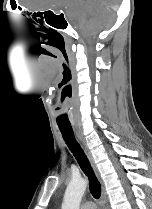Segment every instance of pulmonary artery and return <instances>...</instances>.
Masks as SVG:
<instances>
[{
	"mask_svg": "<svg viewBox=\"0 0 152 209\" xmlns=\"http://www.w3.org/2000/svg\"><path fill=\"white\" fill-rule=\"evenodd\" d=\"M81 209H96V205L93 202H85L81 205Z\"/></svg>",
	"mask_w": 152,
	"mask_h": 209,
	"instance_id": "obj_1",
	"label": "pulmonary artery"
}]
</instances>
